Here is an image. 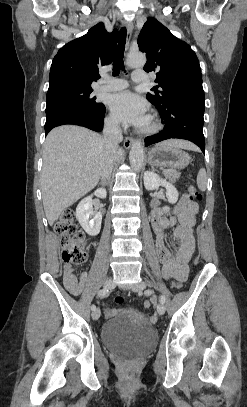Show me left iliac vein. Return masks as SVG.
Listing matches in <instances>:
<instances>
[{"mask_svg":"<svg viewBox=\"0 0 247 407\" xmlns=\"http://www.w3.org/2000/svg\"><path fill=\"white\" fill-rule=\"evenodd\" d=\"M146 288V283L144 281H140L138 284L134 285L132 287V290L134 292H142ZM157 313L159 315H163L165 313V306L162 303H159L157 305Z\"/></svg>","mask_w":247,"mask_h":407,"instance_id":"4c4485c4","label":"left iliac vein"}]
</instances>
